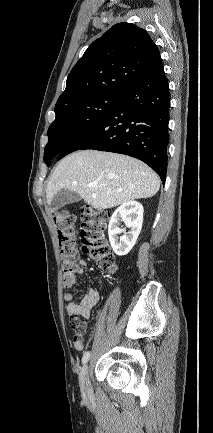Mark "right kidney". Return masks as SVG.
<instances>
[{
    "instance_id": "1",
    "label": "right kidney",
    "mask_w": 213,
    "mask_h": 433,
    "mask_svg": "<svg viewBox=\"0 0 213 433\" xmlns=\"http://www.w3.org/2000/svg\"><path fill=\"white\" fill-rule=\"evenodd\" d=\"M119 221H123L130 229L128 234L125 233L120 237V240L118 235L124 233L125 230L119 228ZM142 222L143 206L139 202L128 201L115 210L109 221L108 235L116 255L123 256L129 253L140 234Z\"/></svg>"
}]
</instances>
